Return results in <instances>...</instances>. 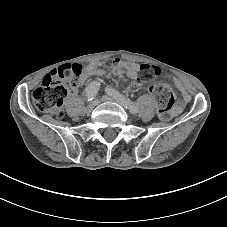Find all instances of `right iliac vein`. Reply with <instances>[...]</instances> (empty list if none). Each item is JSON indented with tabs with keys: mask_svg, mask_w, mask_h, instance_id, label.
I'll return each instance as SVG.
<instances>
[{
	"mask_svg": "<svg viewBox=\"0 0 227 227\" xmlns=\"http://www.w3.org/2000/svg\"><path fill=\"white\" fill-rule=\"evenodd\" d=\"M98 104H99V101H98V100H94L93 102H91V103L87 106V111L93 110L94 107H95L96 105H98Z\"/></svg>",
	"mask_w": 227,
	"mask_h": 227,
	"instance_id": "right-iliac-vein-1",
	"label": "right iliac vein"
}]
</instances>
